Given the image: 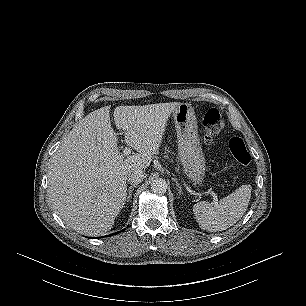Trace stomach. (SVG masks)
I'll list each match as a JSON object with an SVG mask.
<instances>
[{
	"mask_svg": "<svg viewBox=\"0 0 306 306\" xmlns=\"http://www.w3.org/2000/svg\"><path fill=\"white\" fill-rule=\"evenodd\" d=\"M173 119L177 132L179 159L184 172L195 185H200L205 174V158L200 146L193 107L181 103L173 111Z\"/></svg>",
	"mask_w": 306,
	"mask_h": 306,
	"instance_id": "0dacf381",
	"label": "stomach"
}]
</instances>
